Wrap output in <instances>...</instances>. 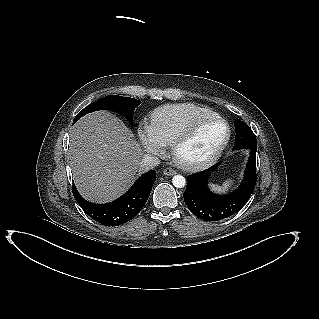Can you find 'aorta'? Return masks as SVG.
Masks as SVG:
<instances>
[{
  "label": "aorta",
  "instance_id": "aorta-1",
  "mask_svg": "<svg viewBox=\"0 0 319 319\" xmlns=\"http://www.w3.org/2000/svg\"><path fill=\"white\" fill-rule=\"evenodd\" d=\"M172 183L176 188H183L186 185V180L182 175H175L172 178Z\"/></svg>",
  "mask_w": 319,
  "mask_h": 319
}]
</instances>
